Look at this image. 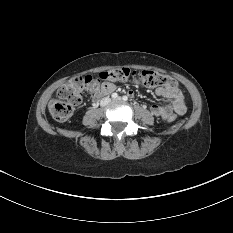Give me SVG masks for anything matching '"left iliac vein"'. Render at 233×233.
<instances>
[{
    "label": "left iliac vein",
    "mask_w": 233,
    "mask_h": 233,
    "mask_svg": "<svg viewBox=\"0 0 233 233\" xmlns=\"http://www.w3.org/2000/svg\"><path fill=\"white\" fill-rule=\"evenodd\" d=\"M121 100H122L121 97H117V98L115 99V101H121Z\"/></svg>",
    "instance_id": "1"
}]
</instances>
